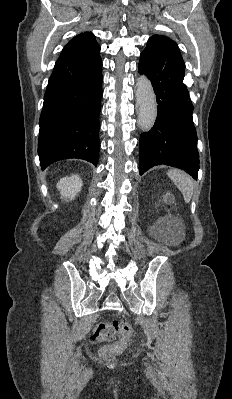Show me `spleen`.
Returning a JSON list of instances; mask_svg holds the SVG:
<instances>
[{
    "mask_svg": "<svg viewBox=\"0 0 232 399\" xmlns=\"http://www.w3.org/2000/svg\"><path fill=\"white\" fill-rule=\"evenodd\" d=\"M170 180L174 182L175 186H177L178 190L182 192L183 198L186 201V203H189L193 196V180L188 176V174H185V172H182V170H169L167 172Z\"/></svg>",
    "mask_w": 232,
    "mask_h": 399,
    "instance_id": "spleen-1",
    "label": "spleen"
}]
</instances>
